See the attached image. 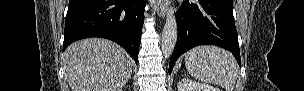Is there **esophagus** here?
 Segmentation results:
<instances>
[{
	"mask_svg": "<svg viewBox=\"0 0 304 91\" xmlns=\"http://www.w3.org/2000/svg\"><path fill=\"white\" fill-rule=\"evenodd\" d=\"M152 3L157 9L158 15L160 17H165L167 11V3L165 0H153Z\"/></svg>",
	"mask_w": 304,
	"mask_h": 91,
	"instance_id": "obj_1",
	"label": "esophagus"
}]
</instances>
